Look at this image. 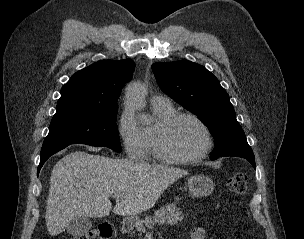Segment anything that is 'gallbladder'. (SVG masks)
Returning a JSON list of instances; mask_svg holds the SVG:
<instances>
[{
    "label": "gallbladder",
    "mask_w": 304,
    "mask_h": 239,
    "mask_svg": "<svg viewBox=\"0 0 304 239\" xmlns=\"http://www.w3.org/2000/svg\"><path fill=\"white\" fill-rule=\"evenodd\" d=\"M92 226V222L88 217H76L69 222L66 229L73 236H82L86 234Z\"/></svg>",
    "instance_id": "bac80fb5"
}]
</instances>
